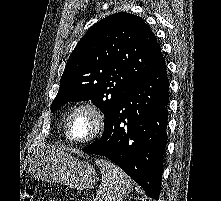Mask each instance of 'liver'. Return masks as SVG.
Returning <instances> with one entry per match:
<instances>
[{
    "mask_svg": "<svg viewBox=\"0 0 221 201\" xmlns=\"http://www.w3.org/2000/svg\"><path fill=\"white\" fill-rule=\"evenodd\" d=\"M54 150H58V151H61V150H59V149H55V148H54Z\"/></svg>",
    "mask_w": 221,
    "mask_h": 201,
    "instance_id": "obj_1",
    "label": "liver"
}]
</instances>
